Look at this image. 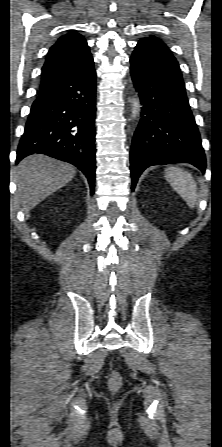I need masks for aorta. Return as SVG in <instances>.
<instances>
[{"label":"aorta","mask_w":222,"mask_h":447,"mask_svg":"<svg viewBox=\"0 0 222 447\" xmlns=\"http://www.w3.org/2000/svg\"><path fill=\"white\" fill-rule=\"evenodd\" d=\"M137 108H138V102H134V109H133V115L135 116L137 113Z\"/></svg>","instance_id":"1"}]
</instances>
